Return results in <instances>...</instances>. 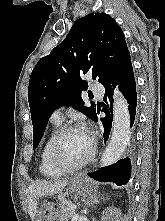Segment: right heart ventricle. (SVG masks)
Wrapping results in <instances>:
<instances>
[{
	"label": "right heart ventricle",
	"mask_w": 165,
	"mask_h": 221,
	"mask_svg": "<svg viewBox=\"0 0 165 221\" xmlns=\"http://www.w3.org/2000/svg\"><path fill=\"white\" fill-rule=\"evenodd\" d=\"M59 129H60V123L54 122L53 127L50 133L48 134L41 150L39 170H40V173L45 177L54 178V177H59L64 174V172H61L57 170L56 168H54V166L52 165L50 161V156H49L51 141Z\"/></svg>",
	"instance_id": "e07e8e85"
}]
</instances>
